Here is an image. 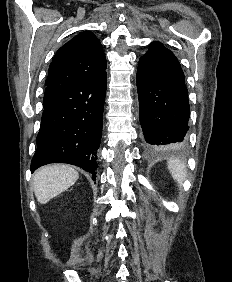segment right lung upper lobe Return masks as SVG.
Segmentation results:
<instances>
[{"mask_svg": "<svg viewBox=\"0 0 232 282\" xmlns=\"http://www.w3.org/2000/svg\"><path fill=\"white\" fill-rule=\"evenodd\" d=\"M105 70L106 58L100 41L90 31L79 33L56 52L49 66L43 107L74 84Z\"/></svg>", "mask_w": 232, "mask_h": 282, "instance_id": "cb5924a9", "label": "right lung upper lobe"}]
</instances>
